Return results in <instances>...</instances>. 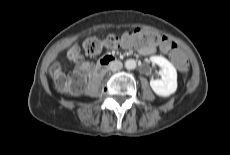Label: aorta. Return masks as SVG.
<instances>
[{
	"label": "aorta",
	"instance_id": "obj_1",
	"mask_svg": "<svg viewBox=\"0 0 230 155\" xmlns=\"http://www.w3.org/2000/svg\"><path fill=\"white\" fill-rule=\"evenodd\" d=\"M136 66H137V64H136V61L134 59H128L125 62V67L128 70H133L136 68Z\"/></svg>",
	"mask_w": 230,
	"mask_h": 155
}]
</instances>
